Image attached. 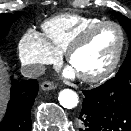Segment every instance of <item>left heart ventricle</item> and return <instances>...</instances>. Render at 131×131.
Wrapping results in <instances>:
<instances>
[{"instance_id":"b2bd125f","label":"left heart ventricle","mask_w":131,"mask_h":131,"mask_svg":"<svg viewBox=\"0 0 131 131\" xmlns=\"http://www.w3.org/2000/svg\"><path fill=\"white\" fill-rule=\"evenodd\" d=\"M120 43L114 26L98 29L88 42L73 55L70 65L77 74H96L113 60Z\"/></svg>"}]
</instances>
